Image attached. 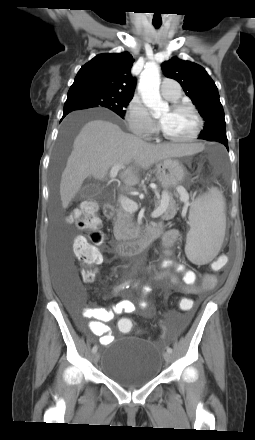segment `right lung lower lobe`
<instances>
[{
	"mask_svg": "<svg viewBox=\"0 0 255 440\" xmlns=\"http://www.w3.org/2000/svg\"><path fill=\"white\" fill-rule=\"evenodd\" d=\"M69 112H64L63 113V117H62V119L68 114Z\"/></svg>",
	"mask_w": 255,
	"mask_h": 440,
	"instance_id": "98d812e1",
	"label": "right lung lower lobe"
}]
</instances>
